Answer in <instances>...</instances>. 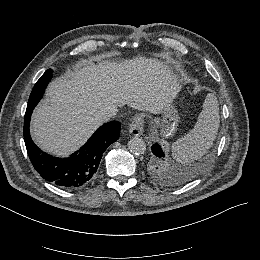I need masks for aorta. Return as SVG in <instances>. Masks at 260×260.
Wrapping results in <instances>:
<instances>
[{"mask_svg": "<svg viewBox=\"0 0 260 260\" xmlns=\"http://www.w3.org/2000/svg\"><path fill=\"white\" fill-rule=\"evenodd\" d=\"M128 149L132 154L141 155L146 151V143L139 137H133L128 142Z\"/></svg>", "mask_w": 260, "mask_h": 260, "instance_id": "aorta-1", "label": "aorta"}]
</instances>
